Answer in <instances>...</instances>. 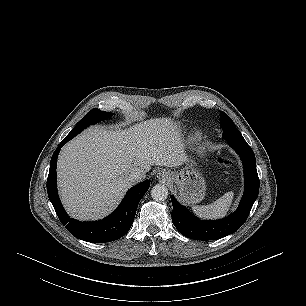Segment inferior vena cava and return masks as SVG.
Returning <instances> with one entry per match:
<instances>
[{"instance_id":"1","label":"inferior vena cava","mask_w":306,"mask_h":306,"mask_svg":"<svg viewBox=\"0 0 306 306\" xmlns=\"http://www.w3.org/2000/svg\"><path fill=\"white\" fill-rule=\"evenodd\" d=\"M146 176V172L140 168H136L129 174V180L133 183L142 181Z\"/></svg>"}]
</instances>
